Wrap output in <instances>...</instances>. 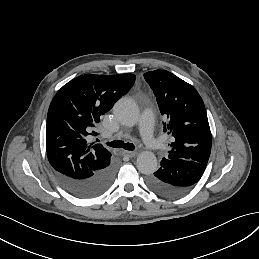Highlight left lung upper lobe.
I'll list each match as a JSON object with an SVG mask.
<instances>
[{"label": "left lung upper lobe", "instance_id": "5c2ea615", "mask_svg": "<svg viewBox=\"0 0 259 259\" xmlns=\"http://www.w3.org/2000/svg\"><path fill=\"white\" fill-rule=\"evenodd\" d=\"M144 78L166 118L164 132L173 137L167 158L207 165L212 136L203 100L196 89L166 70L147 72Z\"/></svg>", "mask_w": 259, "mask_h": 259}]
</instances>
